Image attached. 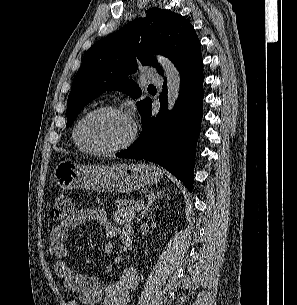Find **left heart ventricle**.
I'll list each match as a JSON object with an SVG mask.
<instances>
[{"label":"left heart ventricle","instance_id":"left-heart-ventricle-1","mask_svg":"<svg viewBox=\"0 0 297 305\" xmlns=\"http://www.w3.org/2000/svg\"><path fill=\"white\" fill-rule=\"evenodd\" d=\"M130 128L129 121L122 115L99 113L83 122L81 138L88 146L112 147L128 137Z\"/></svg>","mask_w":297,"mask_h":305}]
</instances>
